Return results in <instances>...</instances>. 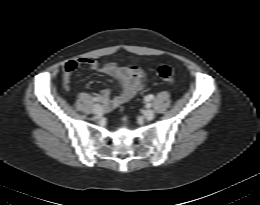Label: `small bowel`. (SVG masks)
<instances>
[{
  "label": "small bowel",
  "instance_id": "obj_1",
  "mask_svg": "<svg viewBox=\"0 0 260 205\" xmlns=\"http://www.w3.org/2000/svg\"><path fill=\"white\" fill-rule=\"evenodd\" d=\"M100 71L111 77L117 84L119 92L112 95L109 88L102 89L97 98L103 103L107 110H112L129 101L139 90L142 89L146 80L145 72L134 65L119 66L114 62H107L104 65L93 58L84 57L78 60L68 61L62 72V84L65 90L75 89L72 84V75L80 67Z\"/></svg>",
  "mask_w": 260,
  "mask_h": 205
}]
</instances>
